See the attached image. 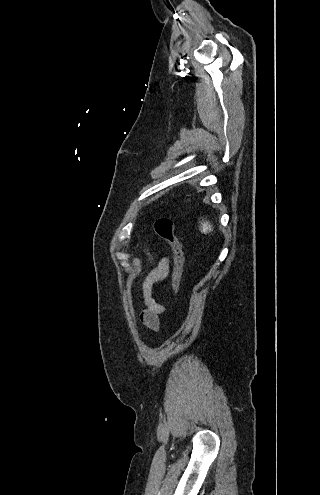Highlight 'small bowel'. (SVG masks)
I'll use <instances>...</instances> for the list:
<instances>
[{"mask_svg":"<svg viewBox=\"0 0 320 495\" xmlns=\"http://www.w3.org/2000/svg\"><path fill=\"white\" fill-rule=\"evenodd\" d=\"M170 269V260L167 257L161 258L143 279L140 291L145 309L140 314L143 324L150 330L156 331L159 328V315L164 312V307L154 297L153 287L156 283L164 280Z\"/></svg>","mask_w":320,"mask_h":495,"instance_id":"c3829d8e","label":"small bowel"}]
</instances>
